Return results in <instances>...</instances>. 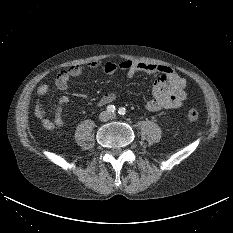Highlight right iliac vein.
I'll list each match as a JSON object with an SVG mask.
<instances>
[{"mask_svg": "<svg viewBox=\"0 0 233 233\" xmlns=\"http://www.w3.org/2000/svg\"><path fill=\"white\" fill-rule=\"evenodd\" d=\"M99 119H100L101 121H106V120L109 119V114H108L107 112L104 111V112H102V113L100 114Z\"/></svg>", "mask_w": 233, "mask_h": 233, "instance_id": "63e3f726", "label": "right iliac vein"}]
</instances>
